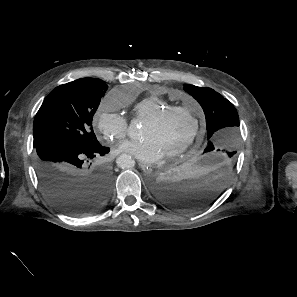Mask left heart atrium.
<instances>
[{
	"label": "left heart atrium",
	"instance_id": "39dd6f15",
	"mask_svg": "<svg viewBox=\"0 0 297 297\" xmlns=\"http://www.w3.org/2000/svg\"><path fill=\"white\" fill-rule=\"evenodd\" d=\"M119 151L127 153L146 164L155 163L164 155L158 144L151 138L124 141L120 144Z\"/></svg>",
	"mask_w": 297,
	"mask_h": 297
}]
</instances>
